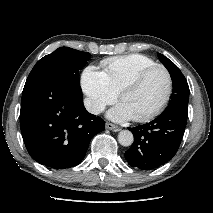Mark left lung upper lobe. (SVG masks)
<instances>
[{
	"label": "left lung upper lobe",
	"instance_id": "left-lung-upper-lobe-1",
	"mask_svg": "<svg viewBox=\"0 0 213 213\" xmlns=\"http://www.w3.org/2000/svg\"><path fill=\"white\" fill-rule=\"evenodd\" d=\"M158 57L170 72L174 83L173 94L167 108L181 107L184 109H188L189 86L187 80L185 79L180 69L170 59L162 54H158Z\"/></svg>",
	"mask_w": 213,
	"mask_h": 213
}]
</instances>
